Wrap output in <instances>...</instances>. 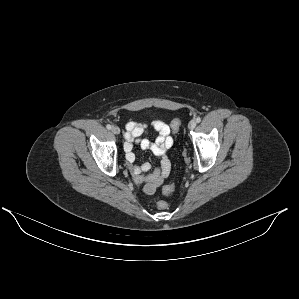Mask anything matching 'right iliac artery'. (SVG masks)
Listing matches in <instances>:
<instances>
[{
    "mask_svg": "<svg viewBox=\"0 0 299 299\" xmlns=\"http://www.w3.org/2000/svg\"><path fill=\"white\" fill-rule=\"evenodd\" d=\"M106 128H107L108 130H110V129H111V125L108 124V125L106 126Z\"/></svg>",
    "mask_w": 299,
    "mask_h": 299,
    "instance_id": "obj_1",
    "label": "right iliac artery"
}]
</instances>
